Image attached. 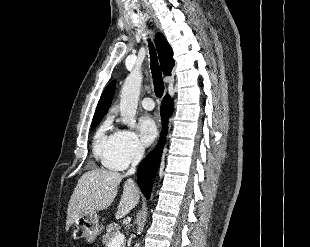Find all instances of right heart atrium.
Listing matches in <instances>:
<instances>
[{
  "label": "right heart atrium",
  "mask_w": 310,
  "mask_h": 247,
  "mask_svg": "<svg viewBox=\"0 0 310 247\" xmlns=\"http://www.w3.org/2000/svg\"><path fill=\"white\" fill-rule=\"evenodd\" d=\"M143 154L144 147L138 135L131 129H121L116 132L107 163L115 169H123L139 161Z\"/></svg>",
  "instance_id": "1"
}]
</instances>
